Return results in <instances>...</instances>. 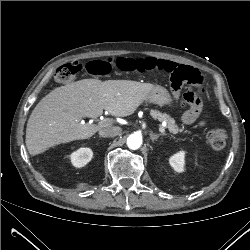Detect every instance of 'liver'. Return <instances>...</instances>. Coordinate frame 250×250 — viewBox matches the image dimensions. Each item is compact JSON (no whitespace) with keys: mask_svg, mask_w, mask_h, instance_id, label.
<instances>
[{"mask_svg":"<svg viewBox=\"0 0 250 250\" xmlns=\"http://www.w3.org/2000/svg\"><path fill=\"white\" fill-rule=\"evenodd\" d=\"M154 87L129 80L83 79L52 90L28 119L25 143L29 154L90 138L107 126L83 124L82 118H96L103 110L117 117L132 115Z\"/></svg>","mask_w":250,"mask_h":250,"instance_id":"liver-1","label":"liver"}]
</instances>
